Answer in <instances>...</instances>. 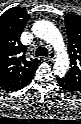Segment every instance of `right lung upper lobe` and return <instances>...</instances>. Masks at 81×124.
<instances>
[{"label":"right lung upper lobe","mask_w":81,"mask_h":124,"mask_svg":"<svg viewBox=\"0 0 81 124\" xmlns=\"http://www.w3.org/2000/svg\"><path fill=\"white\" fill-rule=\"evenodd\" d=\"M29 14L13 7L0 16V87L14 91L30 80L39 64L37 59L27 60L26 47L20 37Z\"/></svg>","instance_id":"obj_1"}]
</instances>
